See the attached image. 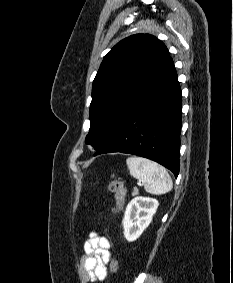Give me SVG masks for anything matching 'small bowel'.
<instances>
[{"instance_id":"1","label":"small bowel","mask_w":233,"mask_h":283,"mask_svg":"<svg viewBox=\"0 0 233 283\" xmlns=\"http://www.w3.org/2000/svg\"><path fill=\"white\" fill-rule=\"evenodd\" d=\"M109 240L95 232L89 234L83 246V256L80 262L82 276L88 281L104 280L107 276V266L110 262Z\"/></svg>"}]
</instances>
